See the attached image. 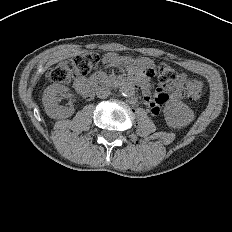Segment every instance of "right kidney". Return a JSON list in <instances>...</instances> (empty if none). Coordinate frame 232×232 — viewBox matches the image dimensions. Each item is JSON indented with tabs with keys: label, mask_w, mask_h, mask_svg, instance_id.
I'll return each instance as SVG.
<instances>
[{
	"label": "right kidney",
	"mask_w": 232,
	"mask_h": 232,
	"mask_svg": "<svg viewBox=\"0 0 232 232\" xmlns=\"http://www.w3.org/2000/svg\"><path fill=\"white\" fill-rule=\"evenodd\" d=\"M69 88L61 84L48 86L42 96V103L46 114L53 119L68 118L74 114V108L58 104V96L66 94Z\"/></svg>",
	"instance_id": "1"
}]
</instances>
